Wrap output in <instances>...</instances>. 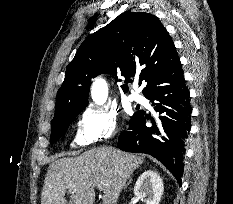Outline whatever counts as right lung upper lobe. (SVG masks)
Wrapping results in <instances>:
<instances>
[{
  "label": "right lung upper lobe",
  "instance_id": "obj_1",
  "mask_svg": "<svg viewBox=\"0 0 233 204\" xmlns=\"http://www.w3.org/2000/svg\"><path fill=\"white\" fill-rule=\"evenodd\" d=\"M179 61L171 37L155 15L126 11L81 44L57 92L52 121L87 106L90 82L96 75L108 73L116 81L117 74L125 78L138 75L139 84H146L144 93L155 79ZM121 88L128 91L127 85Z\"/></svg>",
  "mask_w": 233,
  "mask_h": 204
}]
</instances>
